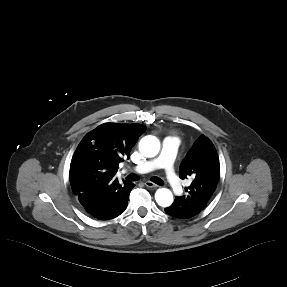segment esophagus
<instances>
[{
    "mask_svg": "<svg viewBox=\"0 0 287 287\" xmlns=\"http://www.w3.org/2000/svg\"><path fill=\"white\" fill-rule=\"evenodd\" d=\"M145 185H146L147 187H149V188H154V189H156V188L158 187L156 184H154V183L151 182V181H146V182H145Z\"/></svg>",
    "mask_w": 287,
    "mask_h": 287,
    "instance_id": "34e87169",
    "label": "esophagus"
}]
</instances>
